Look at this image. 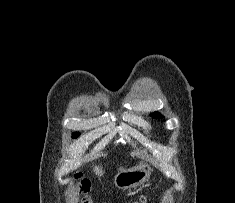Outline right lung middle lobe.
Returning a JSON list of instances; mask_svg holds the SVG:
<instances>
[{
	"label": "right lung middle lobe",
	"instance_id": "right-lung-middle-lobe-1",
	"mask_svg": "<svg viewBox=\"0 0 235 203\" xmlns=\"http://www.w3.org/2000/svg\"><path fill=\"white\" fill-rule=\"evenodd\" d=\"M78 136H79V133H77V132L73 133V135H72L73 138H77Z\"/></svg>",
	"mask_w": 235,
	"mask_h": 203
}]
</instances>
